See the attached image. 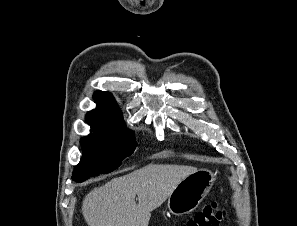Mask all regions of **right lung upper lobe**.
I'll return each mask as SVG.
<instances>
[{
    "instance_id": "right-lung-upper-lobe-1",
    "label": "right lung upper lobe",
    "mask_w": 297,
    "mask_h": 226,
    "mask_svg": "<svg viewBox=\"0 0 297 226\" xmlns=\"http://www.w3.org/2000/svg\"><path fill=\"white\" fill-rule=\"evenodd\" d=\"M96 109L88 112L86 121L92 128H111L118 125L122 117L119 107L109 92L97 91L94 94Z\"/></svg>"
}]
</instances>
